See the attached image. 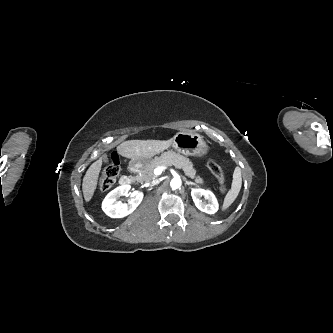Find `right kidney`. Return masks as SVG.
Listing matches in <instances>:
<instances>
[{
	"label": "right kidney",
	"instance_id": "ca27d5eb",
	"mask_svg": "<svg viewBox=\"0 0 333 333\" xmlns=\"http://www.w3.org/2000/svg\"><path fill=\"white\" fill-rule=\"evenodd\" d=\"M131 186L122 185L112 190L102 202V210L112 218H122L132 213L142 202L143 193L135 194L128 203L117 202L121 196L127 195Z\"/></svg>",
	"mask_w": 333,
	"mask_h": 333
}]
</instances>
